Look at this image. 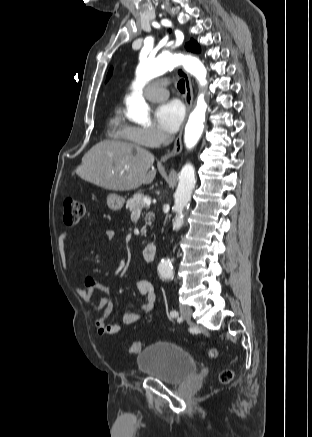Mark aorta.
Masks as SVG:
<instances>
[{
  "instance_id": "762f6f07",
  "label": "aorta",
  "mask_w": 312,
  "mask_h": 437,
  "mask_svg": "<svg viewBox=\"0 0 312 437\" xmlns=\"http://www.w3.org/2000/svg\"><path fill=\"white\" fill-rule=\"evenodd\" d=\"M178 65H183L186 71L196 77L201 86L207 84V71L199 59L192 56H183L170 53H162L155 59H142L136 70V81L133 84V92L127 98V116L129 119L140 124L149 122L148 104L142 96V88L151 79L164 74ZM207 104L204 94H200L195 109L189 116L185 127L184 144L187 149L193 148L199 141L205 121ZM195 184V169L191 164H186L179 175V183L174 194V209L176 211L173 220V230H179L184 223L183 211L187 207ZM158 271L162 276L173 273V265L169 259H162L158 265Z\"/></svg>"
}]
</instances>
